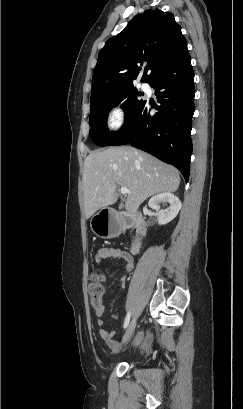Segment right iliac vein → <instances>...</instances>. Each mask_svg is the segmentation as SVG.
<instances>
[{
	"label": "right iliac vein",
	"instance_id": "right-iliac-vein-1",
	"mask_svg": "<svg viewBox=\"0 0 243 409\" xmlns=\"http://www.w3.org/2000/svg\"><path fill=\"white\" fill-rule=\"evenodd\" d=\"M135 328H136V317H133V319L128 325L127 330L123 336L122 343H121L122 345L126 344L129 341L132 334L134 333Z\"/></svg>",
	"mask_w": 243,
	"mask_h": 409
}]
</instances>
